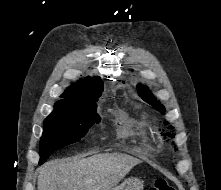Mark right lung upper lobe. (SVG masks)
<instances>
[{"instance_id": "obj_1", "label": "right lung upper lobe", "mask_w": 221, "mask_h": 190, "mask_svg": "<svg viewBox=\"0 0 221 190\" xmlns=\"http://www.w3.org/2000/svg\"><path fill=\"white\" fill-rule=\"evenodd\" d=\"M103 92V82L99 77H87L76 85H71L60 96L63 98L54 105V110L74 108L77 105L98 100Z\"/></svg>"}]
</instances>
